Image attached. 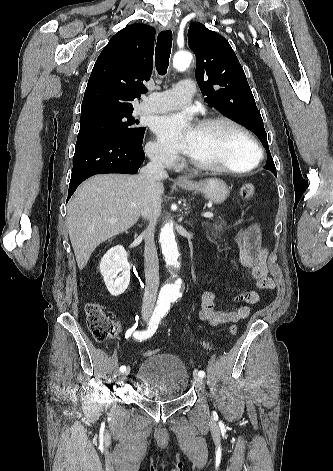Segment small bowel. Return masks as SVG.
<instances>
[{
  "label": "small bowel",
  "mask_w": 333,
  "mask_h": 471,
  "mask_svg": "<svg viewBox=\"0 0 333 471\" xmlns=\"http://www.w3.org/2000/svg\"><path fill=\"white\" fill-rule=\"evenodd\" d=\"M240 264L250 269L251 278L258 289L272 290L274 280L269 276L267 266V250L261 244L260 228L252 224L241 230L236 236ZM240 305L233 309H217L216 295L213 291H205L201 296L199 318L212 326L237 323L251 314L250 305L260 303L261 296L256 291H242L235 296Z\"/></svg>",
  "instance_id": "small-bowel-1"
}]
</instances>
